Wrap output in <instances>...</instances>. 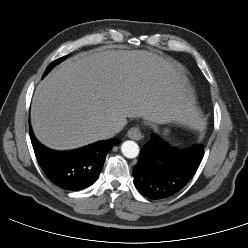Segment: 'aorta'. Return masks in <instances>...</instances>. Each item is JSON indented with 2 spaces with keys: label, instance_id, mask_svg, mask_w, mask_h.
I'll list each match as a JSON object with an SVG mask.
<instances>
[{
  "label": "aorta",
  "instance_id": "obj_1",
  "mask_svg": "<svg viewBox=\"0 0 248 248\" xmlns=\"http://www.w3.org/2000/svg\"><path fill=\"white\" fill-rule=\"evenodd\" d=\"M121 152L127 158H136L139 154V146L136 142L128 140L121 145Z\"/></svg>",
  "mask_w": 248,
  "mask_h": 248
}]
</instances>
